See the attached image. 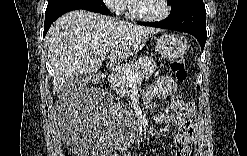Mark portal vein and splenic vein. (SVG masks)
Here are the masks:
<instances>
[{
    "label": "portal vein and splenic vein",
    "mask_w": 247,
    "mask_h": 156,
    "mask_svg": "<svg viewBox=\"0 0 247 156\" xmlns=\"http://www.w3.org/2000/svg\"><path fill=\"white\" fill-rule=\"evenodd\" d=\"M111 69H112L113 71H116V72H119V73H122V74L127 75L128 78H129L131 81H136V80H138V73L132 72L129 68L119 67V66H112V65H111Z\"/></svg>",
    "instance_id": "portal-vein-and-splenic-vein-1"
}]
</instances>
